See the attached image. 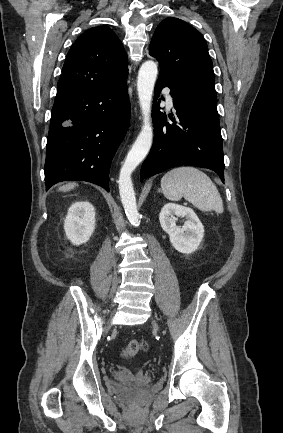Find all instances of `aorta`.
Here are the masks:
<instances>
[{
	"mask_svg": "<svg viewBox=\"0 0 283 433\" xmlns=\"http://www.w3.org/2000/svg\"><path fill=\"white\" fill-rule=\"evenodd\" d=\"M157 65L153 61H146L139 69L137 91L142 113L143 125L132 148L128 152L119 174V193L126 216L132 225L138 226L139 213L131 174L150 151L153 141V127L151 118L152 95L157 78Z\"/></svg>",
	"mask_w": 283,
	"mask_h": 433,
	"instance_id": "aorta-1",
	"label": "aorta"
}]
</instances>
